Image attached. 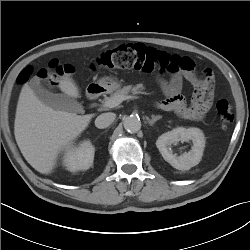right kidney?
Returning <instances> with one entry per match:
<instances>
[{"instance_id": "1", "label": "right kidney", "mask_w": 250, "mask_h": 250, "mask_svg": "<svg viewBox=\"0 0 250 250\" xmlns=\"http://www.w3.org/2000/svg\"><path fill=\"white\" fill-rule=\"evenodd\" d=\"M95 149L90 141H83L76 147H69L63 158V165L70 172L89 169L94 160Z\"/></svg>"}]
</instances>
